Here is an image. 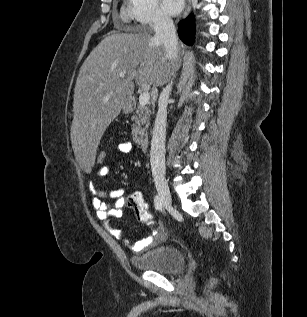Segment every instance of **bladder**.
<instances>
[{
	"label": "bladder",
	"mask_w": 307,
	"mask_h": 317,
	"mask_svg": "<svg viewBox=\"0 0 307 317\" xmlns=\"http://www.w3.org/2000/svg\"><path fill=\"white\" fill-rule=\"evenodd\" d=\"M131 262L138 270L156 271L166 275L175 274L185 266L182 252L171 246L156 247L141 256H133Z\"/></svg>",
	"instance_id": "31cf9c89"
}]
</instances>
